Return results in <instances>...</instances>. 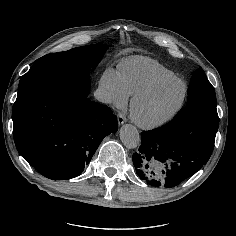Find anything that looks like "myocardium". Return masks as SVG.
<instances>
[{"label": "myocardium", "instance_id": "obj_1", "mask_svg": "<svg viewBox=\"0 0 236 236\" xmlns=\"http://www.w3.org/2000/svg\"><path fill=\"white\" fill-rule=\"evenodd\" d=\"M173 81H178L183 84V93L178 104L168 114L157 120L147 121L142 119L137 113V105L139 101L142 100L147 95H149L158 87ZM187 95H188V85L183 79L179 77L172 76L154 80L145 87L141 88L132 96L129 106L130 119L135 125L144 130H154L160 128L169 123L170 121H172L180 113L186 102Z\"/></svg>", "mask_w": 236, "mask_h": 236}]
</instances>
